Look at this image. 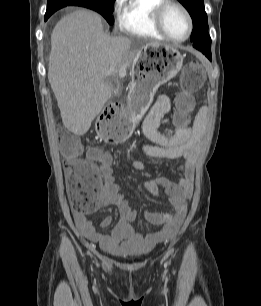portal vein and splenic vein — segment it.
<instances>
[{
	"label": "portal vein and splenic vein",
	"mask_w": 261,
	"mask_h": 306,
	"mask_svg": "<svg viewBox=\"0 0 261 306\" xmlns=\"http://www.w3.org/2000/svg\"><path fill=\"white\" fill-rule=\"evenodd\" d=\"M123 72H124L123 69H120V70H119V74H120V75L123 74Z\"/></svg>",
	"instance_id": "18ae733b"
}]
</instances>
